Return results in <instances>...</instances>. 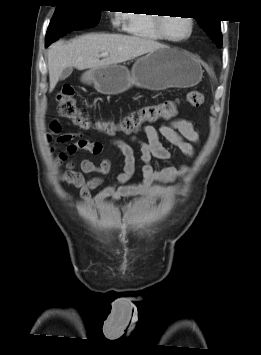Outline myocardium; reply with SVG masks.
Wrapping results in <instances>:
<instances>
[{
    "mask_svg": "<svg viewBox=\"0 0 261 355\" xmlns=\"http://www.w3.org/2000/svg\"><path fill=\"white\" fill-rule=\"evenodd\" d=\"M185 18L188 20L189 22V26H190V30H189V33L187 36L185 37H182V38H171L169 37L166 32H165V27H164V23H165V20H166V17H162V16H159V17H156V27H157V30L158 32L160 33V35L163 37L164 40H167L169 42H173V43H180V42H183V41H186L188 40L192 35H193V32H194V28H195V21L192 17L190 16H185Z\"/></svg>",
    "mask_w": 261,
    "mask_h": 355,
    "instance_id": "f54148a6",
    "label": "myocardium"
}]
</instances>
